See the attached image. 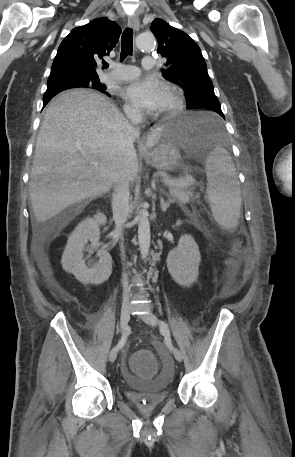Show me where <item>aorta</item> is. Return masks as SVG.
Instances as JSON below:
<instances>
[{"instance_id":"1","label":"aorta","mask_w":295,"mask_h":457,"mask_svg":"<svg viewBox=\"0 0 295 457\" xmlns=\"http://www.w3.org/2000/svg\"><path fill=\"white\" fill-rule=\"evenodd\" d=\"M154 36L152 34H139L136 37V46L141 50H151L154 47ZM138 241L141 257L146 260L151 241L150 222L148 219V211L143 208L138 213Z\"/></svg>"}]
</instances>
